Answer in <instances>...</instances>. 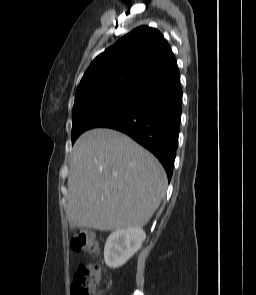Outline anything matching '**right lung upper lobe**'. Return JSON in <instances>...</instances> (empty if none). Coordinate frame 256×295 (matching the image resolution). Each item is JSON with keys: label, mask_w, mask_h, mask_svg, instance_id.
Masks as SVG:
<instances>
[{"label": "right lung upper lobe", "mask_w": 256, "mask_h": 295, "mask_svg": "<svg viewBox=\"0 0 256 295\" xmlns=\"http://www.w3.org/2000/svg\"><path fill=\"white\" fill-rule=\"evenodd\" d=\"M174 60L163 35L140 26L94 59L77 88L75 102L90 104L136 92Z\"/></svg>", "instance_id": "cb5924a9"}]
</instances>
